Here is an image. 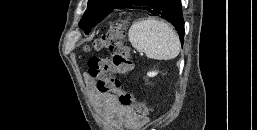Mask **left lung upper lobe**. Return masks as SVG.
I'll return each mask as SVG.
<instances>
[{"label": "left lung upper lobe", "instance_id": "5c2ea615", "mask_svg": "<svg viewBox=\"0 0 257 130\" xmlns=\"http://www.w3.org/2000/svg\"><path fill=\"white\" fill-rule=\"evenodd\" d=\"M128 0H89L88 8L85 11L79 26L86 34L102 18L108 15L113 9H121Z\"/></svg>", "mask_w": 257, "mask_h": 130}]
</instances>
